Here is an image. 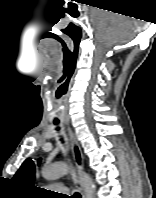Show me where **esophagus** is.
<instances>
[{
  "label": "esophagus",
  "instance_id": "34e87169",
  "mask_svg": "<svg viewBox=\"0 0 156 198\" xmlns=\"http://www.w3.org/2000/svg\"><path fill=\"white\" fill-rule=\"evenodd\" d=\"M68 130H69V135H70V140H71V145H72V152H73V158H74L75 166H76L77 170L79 172H81L84 168V158H83V154H82V151H81V147H80L78 141L76 140V138H75L73 132L71 131V129L68 128ZM79 190L81 191L82 198H85L81 187H79Z\"/></svg>",
  "mask_w": 156,
  "mask_h": 198
}]
</instances>
